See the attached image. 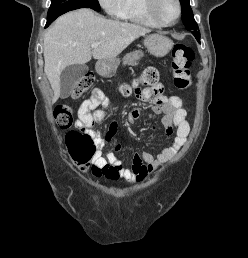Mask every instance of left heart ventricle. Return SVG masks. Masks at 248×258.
Instances as JSON below:
<instances>
[{
	"mask_svg": "<svg viewBox=\"0 0 248 258\" xmlns=\"http://www.w3.org/2000/svg\"><path fill=\"white\" fill-rule=\"evenodd\" d=\"M155 12L161 20L171 22L177 14L176 3L174 0H156Z\"/></svg>",
	"mask_w": 248,
	"mask_h": 258,
	"instance_id": "left-heart-ventricle-1",
	"label": "left heart ventricle"
}]
</instances>
